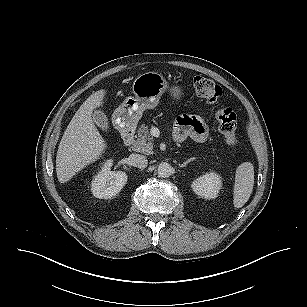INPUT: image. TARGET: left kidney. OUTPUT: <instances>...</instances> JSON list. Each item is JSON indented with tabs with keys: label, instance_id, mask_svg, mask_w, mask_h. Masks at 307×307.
Here are the masks:
<instances>
[{
	"label": "left kidney",
	"instance_id": "left-kidney-1",
	"mask_svg": "<svg viewBox=\"0 0 307 307\" xmlns=\"http://www.w3.org/2000/svg\"><path fill=\"white\" fill-rule=\"evenodd\" d=\"M191 187L197 195L205 199H214L222 187V180L219 174L209 172L194 180Z\"/></svg>",
	"mask_w": 307,
	"mask_h": 307
}]
</instances>
